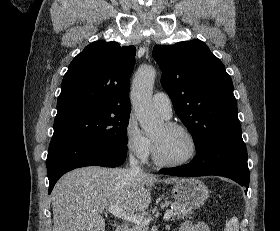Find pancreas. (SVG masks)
Here are the masks:
<instances>
[{"label":"pancreas","mask_w":280,"mask_h":231,"mask_svg":"<svg viewBox=\"0 0 280 231\" xmlns=\"http://www.w3.org/2000/svg\"><path fill=\"white\" fill-rule=\"evenodd\" d=\"M168 205H172L173 207V215L180 219V217H185L187 213H192L191 209H185L184 205H180L177 201H165V203H161V207H168ZM130 231H147V227H143V225H132L129 227Z\"/></svg>","instance_id":"1"}]
</instances>
